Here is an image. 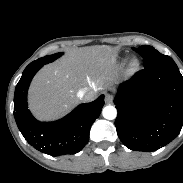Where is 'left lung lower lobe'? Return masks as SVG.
<instances>
[{
	"mask_svg": "<svg viewBox=\"0 0 183 183\" xmlns=\"http://www.w3.org/2000/svg\"><path fill=\"white\" fill-rule=\"evenodd\" d=\"M114 103L122 143L134 151H156L183 126V76L175 62L144 68L119 86Z\"/></svg>",
	"mask_w": 183,
	"mask_h": 183,
	"instance_id": "0a47b994",
	"label": "left lung lower lobe"
}]
</instances>
